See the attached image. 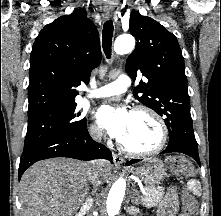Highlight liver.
<instances>
[{"label": "liver", "mask_w": 221, "mask_h": 216, "mask_svg": "<svg viewBox=\"0 0 221 216\" xmlns=\"http://www.w3.org/2000/svg\"><path fill=\"white\" fill-rule=\"evenodd\" d=\"M92 168L106 182L112 171L107 160H96ZM87 162L53 158L36 162L20 181L21 216H73L88 194Z\"/></svg>", "instance_id": "obj_1"}]
</instances>
